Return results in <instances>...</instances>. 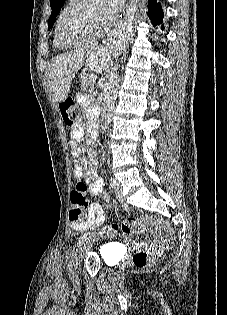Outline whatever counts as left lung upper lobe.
Wrapping results in <instances>:
<instances>
[{"label": "left lung upper lobe", "instance_id": "obj_1", "mask_svg": "<svg viewBox=\"0 0 227 315\" xmlns=\"http://www.w3.org/2000/svg\"><path fill=\"white\" fill-rule=\"evenodd\" d=\"M65 0H50V6L52 8V13L49 18L48 28H52L57 15L59 14Z\"/></svg>", "mask_w": 227, "mask_h": 315}]
</instances>
